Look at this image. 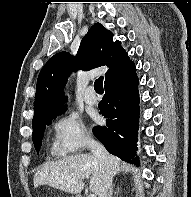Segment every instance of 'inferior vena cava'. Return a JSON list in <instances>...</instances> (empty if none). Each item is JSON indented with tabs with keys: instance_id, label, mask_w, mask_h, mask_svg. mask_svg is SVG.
<instances>
[{
	"instance_id": "inferior-vena-cava-1",
	"label": "inferior vena cava",
	"mask_w": 191,
	"mask_h": 197,
	"mask_svg": "<svg viewBox=\"0 0 191 197\" xmlns=\"http://www.w3.org/2000/svg\"><path fill=\"white\" fill-rule=\"evenodd\" d=\"M88 146L92 154L98 159L104 170L103 180L98 197H109L113 179L111 156L102 144L92 138L89 139Z\"/></svg>"
}]
</instances>
